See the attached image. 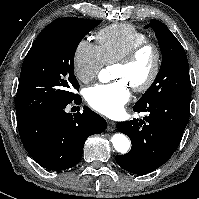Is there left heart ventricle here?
<instances>
[{"mask_svg":"<svg viewBox=\"0 0 199 199\" xmlns=\"http://www.w3.org/2000/svg\"><path fill=\"white\" fill-rule=\"evenodd\" d=\"M153 54L150 51L143 52L131 65H114L112 69L113 79H123L128 85L143 83L151 72Z\"/></svg>","mask_w":199,"mask_h":199,"instance_id":"obj_1","label":"left heart ventricle"}]
</instances>
